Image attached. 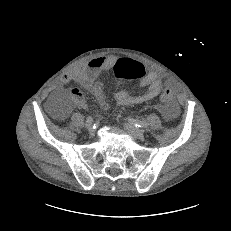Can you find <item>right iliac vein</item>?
Returning a JSON list of instances; mask_svg holds the SVG:
<instances>
[{
  "instance_id": "63e3f726",
  "label": "right iliac vein",
  "mask_w": 231,
  "mask_h": 231,
  "mask_svg": "<svg viewBox=\"0 0 231 231\" xmlns=\"http://www.w3.org/2000/svg\"><path fill=\"white\" fill-rule=\"evenodd\" d=\"M85 127L88 131H93V124L91 122H86Z\"/></svg>"
}]
</instances>
